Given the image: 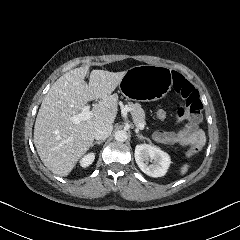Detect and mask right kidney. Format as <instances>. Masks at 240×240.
I'll use <instances>...</instances> for the list:
<instances>
[{
    "label": "right kidney",
    "instance_id": "right-kidney-1",
    "mask_svg": "<svg viewBox=\"0 0 240 240\" xmlns=\"http://www.w3.org/2000/svg\"><path fill=\"white\" fill-rule=\"evenodd\" d=\"M94 159H95V154L89 153L80 160V166L83 168H86L93 163Z\"/></svg>",
    "mask_w": 240,
    "mask_h": 240
}]
</instances>
